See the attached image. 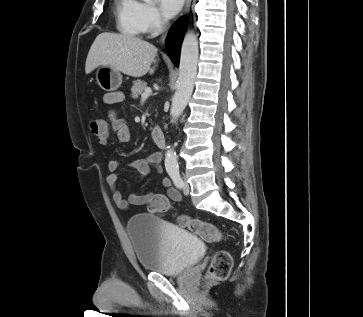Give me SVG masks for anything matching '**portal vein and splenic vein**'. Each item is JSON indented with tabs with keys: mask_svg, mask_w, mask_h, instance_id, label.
<instances>
[{
	"mask_svg": "<svg viewBox=\"0 0 363 317\" xmlns=\"http://www.w3.org/2000/svg\"><path fill=\"white\" fill-rule=\"evenodd\" d=\"M152 93V89L147 87L144 92L141 94L142 99H146Z\"/></svg>",
	"mask_w": 363,
	"mask_h": 317,
	"instance_id": "obj_1",
	"label": "portal vein and splenic vein"
}]
</instances>
